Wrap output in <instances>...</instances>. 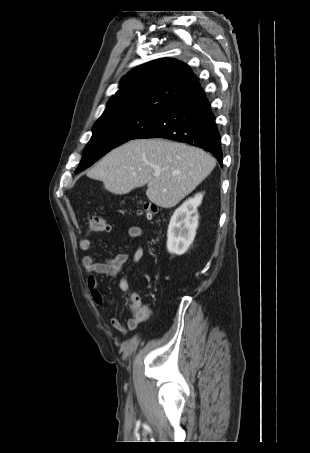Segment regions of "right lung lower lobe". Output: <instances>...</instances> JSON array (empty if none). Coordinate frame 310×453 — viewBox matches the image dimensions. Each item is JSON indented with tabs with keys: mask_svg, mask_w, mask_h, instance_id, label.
I'll list each match as a JSON object with an SVG mask.
<instances>
[{
	"mask_svg": "<svg viewBox=\"0 0 310 453\" xmlns=\"http://www.w3.org/2000/svg\"><path fill=\"white\" fill-rule=\"evenodd\" d=\"M140 138L185 142L212 153L222 165L221 137L201 86L164 110L136 139Z\"/></svg>",
	"mask_w": 310,
	"mask_h": 453,
	"instance_id": "1",
	"label": "right lung lower lobe"
}]
</instances>
